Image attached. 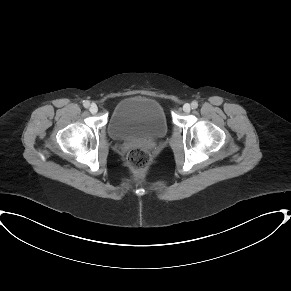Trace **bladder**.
<instances>
[{"mask_svg":"<svg viewBox=\"0 0 291 291\" xmlns=\"http://www.w3.org/2000/svg\"><path fill=\"white\" fill-rule=\"evenodd\" d=\"M107 130L111 138L121 142L155 141L166 135L168 123L155 99L132 95L115 106Z\"/></svg>","mask_w":291,"mask_h":291,"instance_id":"bladder-1","label":"bladder"}]
</instances>
